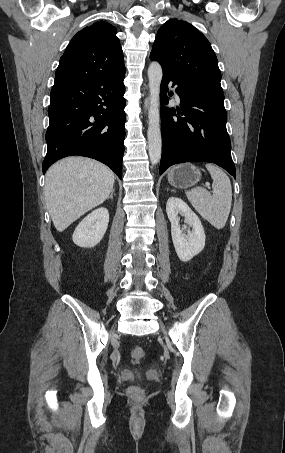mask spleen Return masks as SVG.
I'll list each match as a JSON object with an SVG mask.
<instances>
[{"mask_svg":"<svg viewBox=\"0 0 285 453\" xmlns=\"http://www.w3.org/2000/svg\"><path fill=\"white\" fill-rule=\"evenodd\" d=\"M213 179V194L202 187L186 191L195 210L216 229L224 228L231 210L232 187L229 177L219 167L206 164Z\"/></svg>","mask_w":285,"mask_h":453,"instance_id":"3e777b00","label":"spleen"}]
</instances>
